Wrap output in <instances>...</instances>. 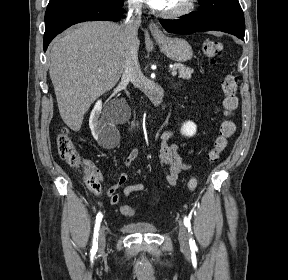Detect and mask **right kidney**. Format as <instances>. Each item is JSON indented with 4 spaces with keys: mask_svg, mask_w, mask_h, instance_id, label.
Masks as SVG:
<instances>
[{
    "mask_svg": "<svg viewBox=\"0 0 288 280\" xmlns=\"http://www.w3.org/2000/svg\"><path fill=\"white\" fill-rule=\"evenodd\" d=\"M89 126L93 137L99 145L108 148L112 146L116 135V130L102 114V101L98 100L91 112Z\"/></svg>",
    "mask_w": 288,
    "mask_h": 280,
    "instance_id": "obj_1",
    "label": "right kidney"
}]
</instances>
